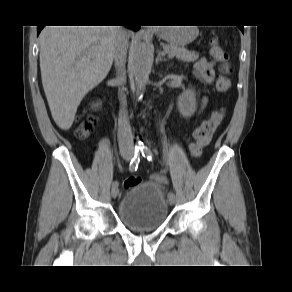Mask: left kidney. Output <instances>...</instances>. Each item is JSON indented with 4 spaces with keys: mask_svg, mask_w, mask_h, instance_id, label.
<instances>
[{
    "mask_svg": "<svg viewBox=\"0 0 292 292\" xmlns=\"http://www.w3.org/2000/svg\"><path fill=\"white\" fill-rule=\"evenodd\" d=\"M196 107V93L192 88L178 96V110L184 117H191L196 111Z\"/></svg>",
    "mask_w": 292,
    "mask_h": 292,
    "instance_id": "5707ae66",
    "label": "left kidney"
}]
</instances>
